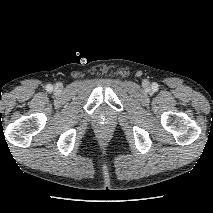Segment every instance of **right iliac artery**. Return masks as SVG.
Wrapping results in <instances>:
<instances>
[{"label": "right iliac artery", "instance_id": "82829eb1", "mask_svg": "<svg viewBox=\"0 0 213 213\" xmlns=\"http://www.w3.org/2000/svg\"><path fill=\"white\" fill-rule=\"evenodd\" d=\"M46 90L49 91V92L52 91L53 90V86L51 84H48L46 86Z\"/></svg>", "mask_w": 213, "mask_h": 213}]
</instances>
